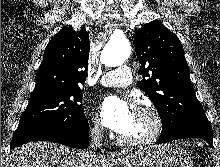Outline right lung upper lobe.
<instances>
[{"instance_id": "1", "label": "right lung upper lobe", "mask_w": 220, "mask_h": 167, "mask_svg": "<svg viewBox=\"0 0 220 167\" xmlns=\"http://www.w3.org/2000/svg\"><path fill=\"white\" fill-rule=\"evenodd\" d=\"M89 36L85 28H63L48 43L36 75L31 98L84 84L89 56Z\"/></svg>"}]
</instances>
